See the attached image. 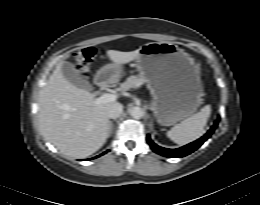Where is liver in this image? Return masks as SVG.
<instances>
[{
  "label": "liver",
  "instance_id": "1",
  "mask_svg": "<svg viewBox=\"0 0 260 205\" xmlns=\"http://www.w3.org/2000/svg\"><path fill=\"white\" fill-rule=\"evenodd\" d=\"M117 65L136 60L139 49L131 52L108 50ZM60 61L39 95V123L46 140L62 154L87 157L98 151L108 138V108L116 102L94 105V95L68 82Z\"/></svg>",
  "mask_w": 260,
  "mask_h": 205
}]
</instances>
